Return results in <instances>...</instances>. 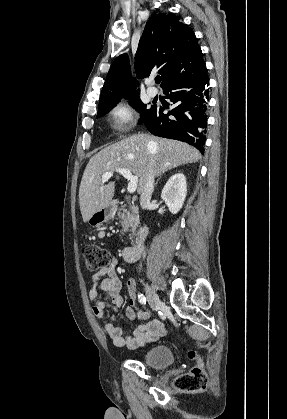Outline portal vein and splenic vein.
Returning <instances> with one entry per match:
<instances>
[{
	"label": "portal vein and splenic vein",
	"instance_id": "portal-vein-and-splenic-vein-1",
	"mask_svg": "<svg viewBox=\"0 0 287 419\" xmlns=\"http://www.w3.org/2000/svg\"><path fill=\"white\" fill-rule=\"evenodd\" d=\"M129 181L127 191L132 194L136 191L138 185V177L133 175L128 169L118 168L115 170ZM113 176V171L106 172L102 175V182L108 181Z\"/></svg>",
	"mask_w": 287,
	"mask_h": 419
}]
</instances>
